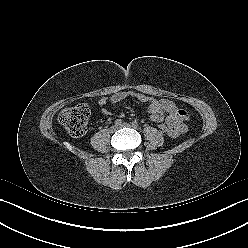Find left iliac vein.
<instances>
[{
  "label": "left iliac vein",
  "mask_w": 248,
  "mask_h": 248,
  "mask_svg": "<svg viewBox=\"0 0 248 248\" xmlns=\"http://www.w3.org/2000/svg\"><path fill=\"white\" fill-rule=\"evenodd\" d=\"M130 126H131V125L128 124V123H123V124L120 125V127H130Z\"/></svg>",
  "instance_id": "left-iliac-vein-1"
}]
</instances>
